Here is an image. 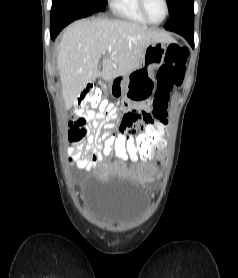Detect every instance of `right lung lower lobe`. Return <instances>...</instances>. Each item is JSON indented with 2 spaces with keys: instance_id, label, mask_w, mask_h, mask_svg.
I'll use <instances>...</instances> for the list:
<instances>
[{
  "instance_id": "obj_1",
  "label": "right lung lower lobe",
  "mask_w": 238,
  "mask_h": 278,
  "mask_svg": "<svg viewBox=\"0 0 238 278\" xmlns=\"http://www.w3.org/2000/svg\"><path fill=\"white\" fill-rule=\"evenodd\" d=\"M88 6L75 0H53L50 13V28L52 40L62 28L79 18L87 17L95 13Z\"/></svg>"
}]
</instances>
